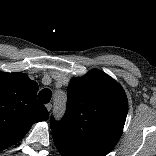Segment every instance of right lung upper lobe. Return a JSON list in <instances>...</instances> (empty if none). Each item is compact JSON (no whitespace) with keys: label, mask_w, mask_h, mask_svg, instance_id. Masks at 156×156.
Segmentation results:
<instances>
[{"label":"right lung upper lobe","mask_w":156,"mask_h":156,"mask_svg":"<svg viewBox=\"0 0 156 156\" xmlns=\"http://www.w3.org/2000/svg\"><path fill=\"white\" fill-rule=\"evenodd\" d=\"M38 84L22 73L0 72V149L21 140L34 123L49 118L37 99Z\"/></svg>","instance_id":"obj_1"}]
</instances>
